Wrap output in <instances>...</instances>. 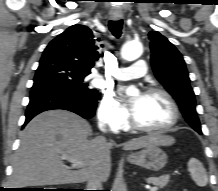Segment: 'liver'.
<instances>
[{
    "label": "liver",
    "mask_w": 218,
    "mask_h": 191,
    "mask_svg": "<svg viewBox=\"0 0 218 191\" xmlns=\"http://www.w3.org/2000/svg\"><path fill=\"white\" fill-rule=\"evenodd\" d=\"M89 123L66 110H50L33 118L21 134L20 146L13 159L10 183L23 186L82 183L98 171L106 181L111 171L110 149L105 137L92 140ZM175 139L166 135H148L123 144L124 150H137L151 144L170 146ZM68 154L83 163L78 170L66 166L61 154Z\"/></svg>",
    "instance_id": "1"
}]
</instances>
